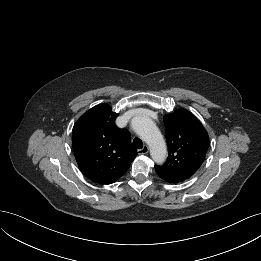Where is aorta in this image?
Returning <instances> with one entry per match:
<instances>
[{
	"instance_id": "obj_1",
	"label": "aorta",
	"mask_w": 261,
	"mask_h": 261,
	"mask_svg": "<svg viewBox=\"0 0 261 261\" xmlns=\"http://www.w3.org/2000/svg\"><path fill=\"white\" fill-rule=\"evenodd\" d=\"M131 126L149 146L152 159L156 163H163L166 159L167 148L155 123L148 116L139 115L131 120Z\"/></svg>"
}]
</instances>
